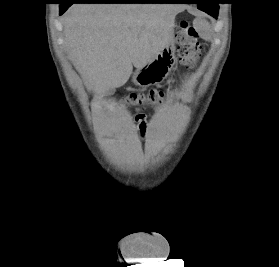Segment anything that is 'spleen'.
<instances>
[{"label": "spleen", "mask_w": 279, "mask_h": 267, "mask_svg": "<svg viewBox=\"0 0 279 267\" xmlns=\"http://www.w3.org/2000/svg\"><path fill=\"white\" fill-rule=\"evenodd\" d=\"M198 24H199V27H200V30L203 34H208L209 33V24L205 21H198Z\"/></svg>", "instance_id": "spleen-1"}]
</instances>
